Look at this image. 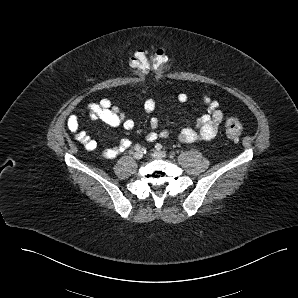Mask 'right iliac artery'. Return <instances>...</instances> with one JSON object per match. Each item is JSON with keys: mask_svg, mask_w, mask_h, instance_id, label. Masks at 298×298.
<instances>
[{"mask_svg": "<svg viewBox=\"0 0 298 298\" xmlns=\"http://www.w3.org/2000/svg\"><path fill=\"white\" fill-rule=\"evenodd\" d=\"M134 149H135L136 151H139V150L141 149V145L136 144L135 147H134ZM143 150H144V149L142 148V151H143ZM144 152H146V151H144Z\"/></svg>", "mask_w": 298, "mask_h": 298, "instance_id": "1", "label": "right iliac artery"}]
</instances>
